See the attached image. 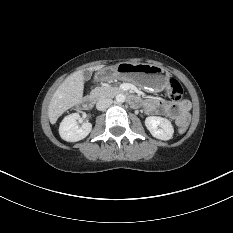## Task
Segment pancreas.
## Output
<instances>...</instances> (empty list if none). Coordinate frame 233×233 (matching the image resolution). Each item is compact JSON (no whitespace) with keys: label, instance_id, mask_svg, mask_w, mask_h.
<instances>
[{"label":"pancreas","instance_id":"1","mask_svg":"<svg viewBox=\"0 0 233 233\" xmlns=\"http://www.w3.org/2000/svg\"><path fill=\"white\" fill-rule=\"evenodd\" d=\"M120 91L117 87H96L91 91V95L95 98L113 97Z\"/></svg>","mask_w":233,"mask_h":233}]
</instances>
